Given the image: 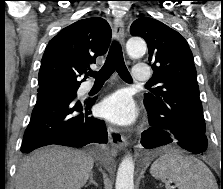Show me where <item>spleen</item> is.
I'll return each instance as SVG.
<instances>
[{"label":"spleen","instance_id":"obj_1","mask_svg":"<svg viewBox=\"0 0 223 189\" xmlns=\"http://www.w3.org/2000/svg\"><path fill=\"white\" fill-rule=\"evenodd\" d=\"M150 173L156 179L175 183L178 189H218L212 172L202 161L178 152L160 156Z\"/></svg>","mask_w":223,"mask_h":189}]
</instances>
